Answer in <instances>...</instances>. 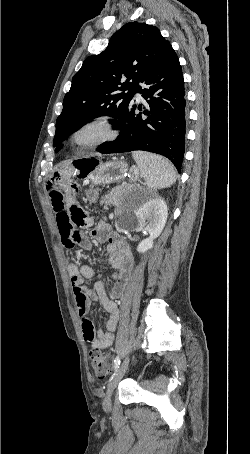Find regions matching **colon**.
Returning <instances> with one entry per match:
<instances>
[{"mask_svg": "<svg viewBox=\"0 0 250 454\" xmlns=\"http://www.w3.org/2000/svg\"><path fill=\"white\" fill-rule=\"evenodd\" d=\"M98 190L93 186H89L85 190V198L88 202L94 203L98 198ZM90 360L93 370L99 378H104L111 373L112 365L111 358L102 353L98 349H93L90 352Z\"/></svg>", "mask_w": 250, "mask_h": 454, "instance_id": "colon-1", "label": "colon"}]
</instances>
